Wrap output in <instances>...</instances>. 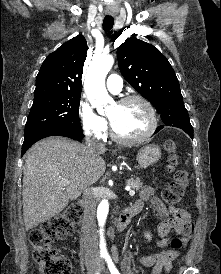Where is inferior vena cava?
I'll list each match as a JSON object with an SVG mask.
<instances>
[{"label":"inferior vena cava","mask_w":221,"mask_h":274,"mask_svg":"<svg viewBox=\"0 0 221 274\" xmlns=\"http://www.w3.org/2000/svg\"><path fill=\"white\" fill-rule=\"evenodd\" d=\"M89 147L92 151L104 149V144L90 141ZM84 213L82 220V231L84 239L85 257L97 259L98 243L96 235V197L93 188H86L83 193Z\"/></svg>","instance_id":"inferior-vena-cava-1"}]
</instances>
